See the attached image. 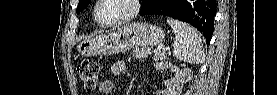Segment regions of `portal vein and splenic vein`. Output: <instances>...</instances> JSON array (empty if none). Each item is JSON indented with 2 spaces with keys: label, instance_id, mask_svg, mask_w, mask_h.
<instances>
[{
  "label": "portal vein and splenic vein",
  "instance_id": "obj_1",
  "mask_svg": "<svg viewBox=\"0 0 277 95\" xmlns=\"http://www.w3.org/2000/svg\"><path fill=\"white\" fill-rule=\"evenodd\" d=\"M165 50V48H164V46L163 45H161V46H159L157 49H155L154 50V53H157L158 51H160V50Z\"/></svg>",
  "mask_w": 277,
  "mask_h": 95
}]
</instances>
